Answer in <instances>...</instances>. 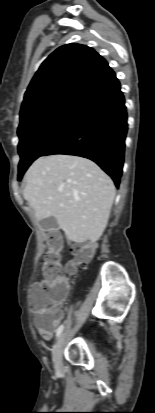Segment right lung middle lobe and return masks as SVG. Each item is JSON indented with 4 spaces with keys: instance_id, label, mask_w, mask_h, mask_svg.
Segmentation results:
<instances>
[{
    "instance_id": "1",
    "label": "right lung middle lobe",
    "mask_w": 155,
    "mask_h": 413,
    "mask_svg": "<svg viewBox=\"0 0 155 413\" xmlns=\"http://www.w3.org/2000/svg\"><path fill=\"white\" fill-rule=\"evenodd\" d=\"M78 104H64L28 121L18 128L21 180L30 164L42 156L66 128Z\"/></svg>"
}]
</instances>
